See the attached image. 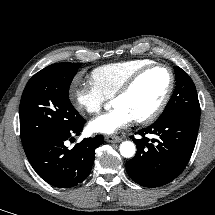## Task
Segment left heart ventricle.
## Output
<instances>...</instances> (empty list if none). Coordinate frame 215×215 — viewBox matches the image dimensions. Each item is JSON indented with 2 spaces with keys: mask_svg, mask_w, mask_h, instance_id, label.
Segmentation results:
<instances>
[{
  "mask_svg": "<svg viewBox=\"0 0 215 215\" xmlns=\"http://www.w3.org/2000/svg\"><path fill=\"white\" fill-rule=\"evenodd\" d=\"M169 73L156 68L145 74L126 95L113 101L114 107H125L135 119L151 113L162 100L169 86Z\"/></svg>",
  "mask_w": 215,
  "mask_h": 215,
  "instance_id": "1",
  "label": "left heart ventricle"
}]
</instances>
